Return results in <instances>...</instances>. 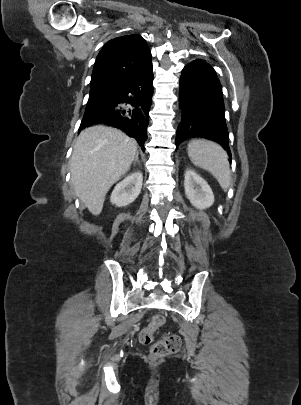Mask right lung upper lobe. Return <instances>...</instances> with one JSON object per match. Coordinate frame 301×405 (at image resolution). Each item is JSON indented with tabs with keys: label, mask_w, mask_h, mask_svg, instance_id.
<instances>
[{
	"label": "right lung upper lobe",
	"mask_w": 301,
	"mask_h": 405,
	"mask_svg": "<svg viewBox=\"0 0 301 405\" xmlns=\"http://www.w3.org/2000/svg\"><path fill=\"white\" fill-rule=\"evenodd\" d=\"M150 61V49L140 35H125L108 41L96 58L90 92H115Z\"/></svg>",
	"instance_id": "obj_1"
}]
</instances>
